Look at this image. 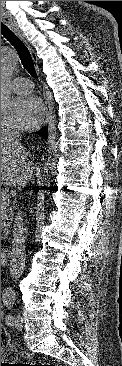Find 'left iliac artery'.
<instances>
[{"label":"left iliac artery","instance_id":"left-iliac-artery-1","mask_svg":"<svg viewBox=\"0 0 122 366\" xmlns=\"http://www.w3.org/2000/svg\"><path fill=\"white\" fill-rule=\"evenodd\" d=\"M4 304L8 307L11 308L12 305L14 304V299L13 298H6L4 299ZM6 323L10 326H12L15 322V317L11 314L6 315Z\"/></svg>","mask_w":122,"mask_h":366}]
</instances>
